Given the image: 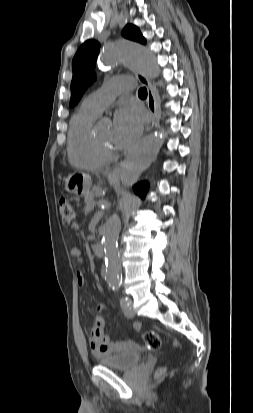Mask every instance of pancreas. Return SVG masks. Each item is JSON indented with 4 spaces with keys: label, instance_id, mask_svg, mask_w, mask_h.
Masks as SVG:
<instances>
[{
    "label": "pancreas",
    "instance_id": "obj_1",
    "mask_svg": "<svg viewBox=\"0 0 253 413\" xmlns=\"http://www.w3.org/2000/svg\"><path fill=\"white\" fill-rule=\"evenodd\" d=\"M101 192V189H96L85 196V203L87 209L94 205V198L99 197L101 195Z\"/></svg>",
    "mask_w": 253,
    "mask_h": 413
}]
</instances>
